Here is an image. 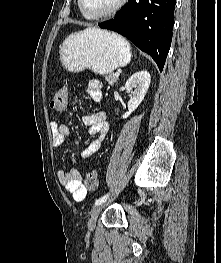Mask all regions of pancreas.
<instances>
[{
  "label": "pancreas",
  "mask_w": 221,
  "mask_h": 263,
  "mask_svg": "<svg viewBox=\"0 0 221 263\" xmlns=\"http://www.w3.org/2000/svg\"><path fill=\"white\" fill-rule=\"evenodd\" d=\"M104 78L108 82V84L111 85V86H113L116 83L117 79H118V77H116L113 73L105 75Z\"/></svg>",
  "instance_id": "1"
}]
</instances>
